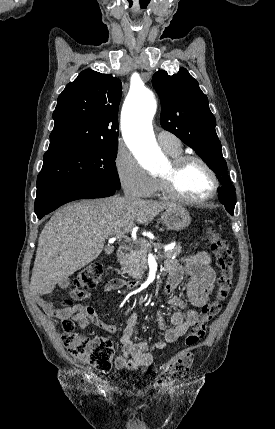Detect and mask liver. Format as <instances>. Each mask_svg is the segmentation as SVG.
I'll return each mask as SVG.
<instances>
[{
    "instance_id": "1",
    "label": "liver",
    "mask_w": 275,
    "mask_h": 429,
    "mask_svg": "<svg viewBox=\"0 0 275 429\" xmlns=\"http://www.w3.org/2000/svg\"><path fill=\"white\" fill-rule=\"evenodd\" d=\"M175 203L126 200L113 196L83 200L58 209L44 226L31 276V288L46 294L95 260L111 236L148 224Z\"/></svg>"
}]
</instances>
